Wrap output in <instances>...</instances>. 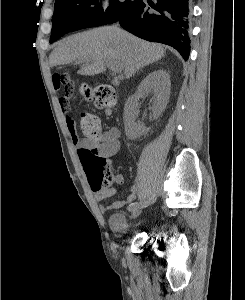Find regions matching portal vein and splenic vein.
Returning <instances> with one entry per match:
<instances>
[{"label":"portal vein and splenic vein","mask_w":245,"mask_h":300,"mask_svg":"<svg viewBox=\"0 0 245 300\" xmlns=\"http://www.w3.org/2000/svg\"><path fill=\"white\" fill-rule=\"evenodd\" d=\"M107 66L115 73H120L122 71L119 65L115 62L109 61L107 62Z\"/></svg>","instance_id":"portal-vein-and-splenic-vein-1"}]
</instances>
